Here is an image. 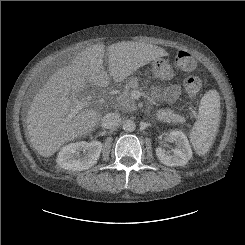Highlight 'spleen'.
Here are the masks:
<instances>
[{"mask_svg":"<svg viewBox=\"0 0 245 245\" xmlns=\"http://www.w3.org/2000/svg\"><path fill=\"white\" fill-rule=\"evenodd\" d=\"M197 121L191 132L190 141L198 155L206 154L213 145L220 122V96L216 90L204 94L200 101Z\"/></svg>","mask_w":245,"mask_h":245,"instance_id":"spleen-1","label":"spleen"}]
</instances>
